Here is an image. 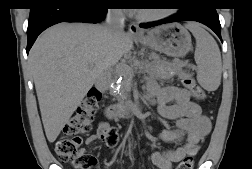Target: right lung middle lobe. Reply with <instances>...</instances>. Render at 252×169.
<instances>
[{
    "label": "right lung middle lobe",
    "mask_w": 252,
    "mask_h": 169,
    "mask_svg": "<svg viewBox=\"0 0 252 169\" xmlns=\"http://www.w3.org/2000/svg\"><path fill=\"white\" fill-rule=\"evenodd\" d=\"M94 1L106 2L107 0H94Z\"/></svg>",
    "instance_id": "obj_1"
}]
</instances>
